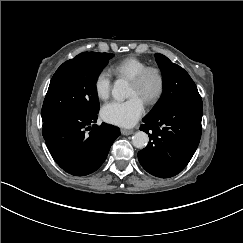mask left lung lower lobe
Instances as JSON below:
<instances>
[{
    "instance_id": "left-lung-lower-lobe-1",
    "label": "left lung lower lobe",
    "mask_w": 243,
    "mask_h": 243,
    "mask_svg": "<svg viewBox=\"0 0 243 243\" xmlns=\"http://www.w3.org/2000/svg\"><path fill=\"white\" fill-rule=\"evenodd\" d=\"M202 114L201 98H184L170 104L158 116L144 118L140 129L151 134L147 147L138 152L142 167L160 178L180 173L198 147Z\"/></svg>"
}]
</instances>
